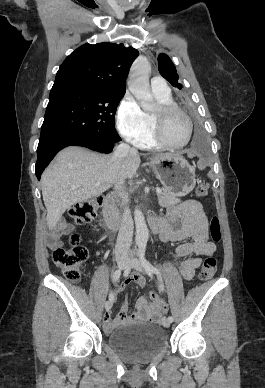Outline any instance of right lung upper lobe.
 Here are the masks:
<instances>
[{
    "label": "right lung upper lobe",
    "instance_id": "cb5924a9",
    "mask_svg": "<svg viewBox=\"0 0 265 388\" xmlns=\"http://www.w3.org/2000/svg\"><path fill=\"white\" fill-rule=\"evenodd\" d=\"M139 52L123 44H85L60 66L50 94L63 91L122 90Z\"/></svg>",
    "mask_w": 265,
    "mask_h": 388
}]
</instances>
